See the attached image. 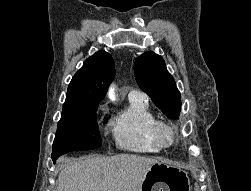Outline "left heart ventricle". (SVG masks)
I'll return each instance as SVG.
<instances>
[{
  "mask_svg": "<svg viewBox=\"0 0 251 191\" xmlns=\"http://www.w3.org/2000/svg\"><path fill=\"white\" fill-rule=\"evenodd\" d=\"M176 139H177V136L170 129L163 128L161 130V132H160V140H161V142H162V144L164 146L171 147L175 143Z\"/></svg>",
  "mask_w": 251,
  "mask_h": 191,
  "instance_id": "left-heart-ventricle-1",
  "label": "left heart ventricle"
}]
</instances>
